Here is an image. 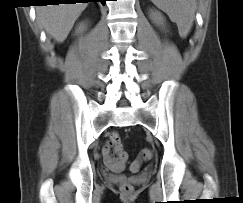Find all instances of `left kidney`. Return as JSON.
Wrapping results in <instances>:
<instances>
[{
	"label": "left kidney",
	"instance_id": "1",
	"mask_svg": "<svg viewBox=\"0 0 243 203\" xmlns=\"http://www.w3.org/2000/svg\"><path fill=\"white\" fill-rule=\"evenodd\" d=\"M150 19L154 24H156L158 26H163L165 23V19H164L163 15L158 11H153L150 14Z\"/></svg>",
	"mask_w": 243,
	"mask_h": 203
}]
</instances>
